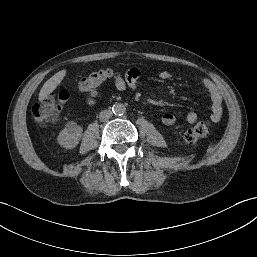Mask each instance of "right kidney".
<instances>
[{
	"label": "right kidney",
	"instance_id": "ca27d5eb",
	"mask_svg": "<svg viewBox=\"0 0 257 257\" xmlns=\"http://www.w3.org/2000/svg\"><path fill=\"white\" fill-rule=\"evenodd\" d=\"M82 131V127L77 125V123L73 121L68 122L58 135V143L66 149H72L78 145Z\"/></svg>",
	"mask_w": 257,
	"mask_h": 257
}]
</instances>
